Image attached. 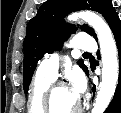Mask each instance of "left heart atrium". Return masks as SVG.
<instances>
[{
	"instance_id": "1",
	"label": "left heart atrium",
	"mask_w": 121,
	"mask_h": 113,
	"mask_svg": "<svg viewBox=\"0 0 121 113\" xmlns=\"http://www.w3.org/2000/svg\"><path fill=\"white\" fill-rule=\"evenodd\" d=\"M85 89V81L84 78L79 74L75 73L72 77V91L77 98H79L80 94Z\"/></svg>"
}]
</instances>
